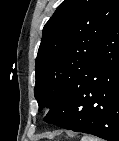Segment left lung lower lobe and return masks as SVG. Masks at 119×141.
Instances as JSON below:
<instances>
[{"mask_svg":"<svg viewBox=\"0 0 119 141\" xmlns=\"http://www.w3.org/2000/svg\"><path fill=\"white\" fill-rule=\"evenodd\" d=\"M44 120L119 141V14L101 38L94 58Z\"/></svg>","mask_w":119,"mask_h":141,"instance_id":"0a47b994","label":"left lung lower lobe"}]
</instances>
